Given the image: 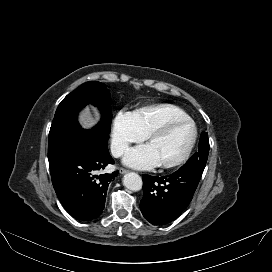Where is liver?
Returning a JSON list of instances; mask_svg holds the SVG:
<instances>
[{
	"label": "liver",
	"mask_w": 272,
	"mask_h": 272,
	"mask_svg": "<svg viewBox=\"0 0 272 272\" xmlns=\"http://www.w3.org/2000/svg\"><path fill=\"white\" fill-rule=\"evenodd\" d=\"M96 120H97L96 113L92 115L90 112L84 111L80 114V123L85 128L91 127L96 122Z\"/></svg>",
	"instance_id": "obj_1"
}]
</instances>
